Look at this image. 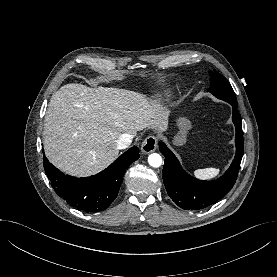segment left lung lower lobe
<instances>
[{
	"label": "left lung lower lobe",
	"mask_w": 277,
	"mask_h": 277,
	"mask_svg": "<svg viewBox=\"0 0 277 277\" xmlns=\"http://www.w3.org/2000/svg\"><path fill=\"white\" fill-rule=\"evenodd\" d=\"M232 121L236 128V155L226 173L217 180L201 181L189 175L176 156L161 142L159 149L165 157L163 181L170 198L185 210L204 209L226 195L233 187L243 156L242 120L237 105H232Z\"/></svg>",
	"instance_id": "1"
}]
</instances>
